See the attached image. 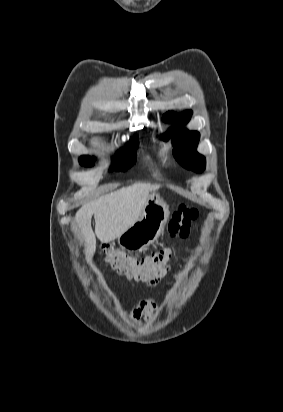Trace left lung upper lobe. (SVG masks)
I'll use <instances>...</instances> for the list:
<instances>
[{
	"instance_id": "left-lung-upper-lobe-1",
	"label": "left lung upper lobe",
	"mask_w": 283,
	"mask_h": 412,
	"mask_svg": "<svg viewBox=\"0 0 283 412\" xmlns=\"http://www.w3.org/2000/svg\"><path fill=\"white\" fill-rule=\"evenodd\" d=\"M191 114V111H185L181 114L174 112L164 114L162 117L163 121L174 123L179 130L174 131L170 129L162 138L163 140H168L171 137L174 146L173 153L180 164L187 169L200 173L204 171L206 166L205 157L196 151L200 134L182 128L190 120Z\"/></svg>"
}]
</instances>
